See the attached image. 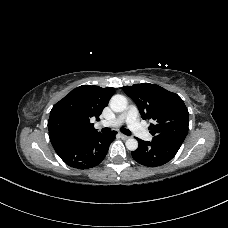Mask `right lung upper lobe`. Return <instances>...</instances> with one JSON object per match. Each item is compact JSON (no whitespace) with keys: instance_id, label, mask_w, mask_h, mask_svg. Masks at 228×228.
I'll list each match as a JSON object with an SVG mask.
<instances>
[{"instance_id":"obj_1","label":"right lung upper lobe","mask_w":228,"mask_h":228,"mask_svg":"<svg viewBox=\"0 0 228 228\" xmlns=\"http://www.w3.org/2000/svg\"><path fill=\"white\" fill-rule=\"evenodd\" d=\"M114 91L115 89L111 87L82 85L56 103L48 120L52 145L91 137L99 133L90 123V119L92 117L98 119Z\"/></svg>"}]
</instances>
